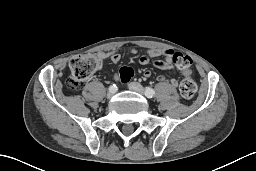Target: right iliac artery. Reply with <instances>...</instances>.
Masks as SVG:
<instances>
[{
    "mask_svg": "<svg viewBox=\"0 0 256 171\" xmlns=\"http://www.w3.org/2000/svg\"><path fill=\"white\" fill-rule=\"evenodd\" d=\"M109 90H112V91L116 92V90H117L116 85H115V84L111 85V86L109 87Z\"/></svg>",
    "mask_w": 256,
    "mask_h": 171,
    "instance_id": "right-iliac-artery-1",
    "label": "right iliac artery"
}]
</instances>
